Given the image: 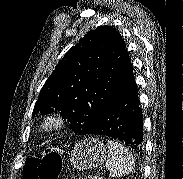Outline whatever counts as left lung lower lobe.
Instances as JSON below:
<instances>
[{
  "instance_id": "obj_1",
  "label": "left lung lower lobe",
  "mask_w": 183,
  "mask_h": 179,
  "mask_svg": "<svg viewBox=\"0 0 183 179\" xmlns=\"http://www.w3.org/2000/svg\"><path fill=\"white\" fill-rule=\"evenodd\" d=\"M143 118L128 54L124 57L110 106L90 134L108 136L141 149Z\"/></svg>"
}]
</instances>
